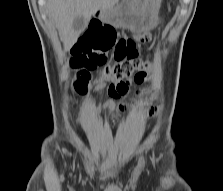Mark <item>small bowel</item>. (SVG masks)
<instances>
[{
	"mask_svg": "<svg viewBox=\"0 0 223 191\" xmlns=\"http://www.w3.org/2000/svg\"><path fill=\"white\" fill-rule=\"evenodd\" d=\"M102 24L97 23L96 26H100ZM148 36H144V40H146ZM98 89H103V86H98ZM108 94L111 97V99L107 100L103 104V110L113 113L116 109H118L120 112H124L127 110L128 106L127 104L121 103L116 104L114 99L120 98L123 96H126L129 93V82H122V83H113L110 84L107 88ZM143 104V103H140ZM115 119V118H113Z\"/></svg>",
	"mask_w": 223,
	"mask_h": 191,
	"instance_id": "obj_1",
	"label": "small bowel"
}]
</instances>
